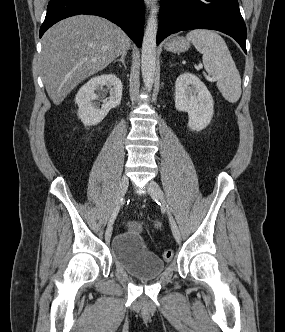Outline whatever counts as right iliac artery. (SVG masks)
Returning a JSON list of instances; mask_svg holds the SVG:
<instances>
[{
    "label": "right iliac artery",
    "mask_w": 285,
    "mask_h": 332,
    "mask_svg": "<svg viewBox=\"0 0 285 332\" xmlns=\"http://www.w3.org/2000/svg\"><path fill=\"white\" fill-rule=\"evenodd\" d=\"M122 200H123V198L121 199V203H122ZM121 203H120V204H121ZM120 204H118V205L114 208L113 213H112V215H111V218H110V220H109V225H110V224H113V222H114V220H115V218H116V216H117V214H118V212H119Z\"/></svg>",
    "instance_id": "right-iliac-artery-1"
}]
</instances>
